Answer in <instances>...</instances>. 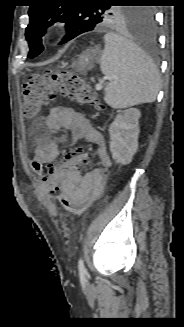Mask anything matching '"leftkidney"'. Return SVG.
<instances>
[{
    "label": "left kidney",
    "mask_w": 184,
    "mask_h": 327,
    "mask_svg": "<svg viewBox=\"0 0 184 327\" xmlns=\"http://www.w3.org/2000/svg\"><path fill=\"white\" fill-rule=\"evenodd\" d=\"M140 116L137 108H129L119 113L110 125V151L116 163L129 164L137 152Z\"/></svg>",
    "instance_id": "left-kidney-1"
}]
</instances>
